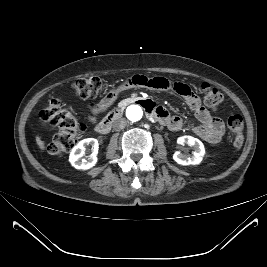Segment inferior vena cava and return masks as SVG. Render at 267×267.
I'll return each instance as SVG.
<instances>
[{"label":"inferior vena cava","mask_w":267,"mask_h":267,"mask_svg":"<svg viewBox=\"0 0 267 267\" xmlns=\"http://www.w3.org/2000/svg\"><path fill=\"white\" fill-rule=\"evenodd\" d=\"M126 123H127L126 120L123 118L117 119L113 123V129L116 131H119V130L125 128Z\"/></svg>","instance_id":"602c4592"}]
</instances>
